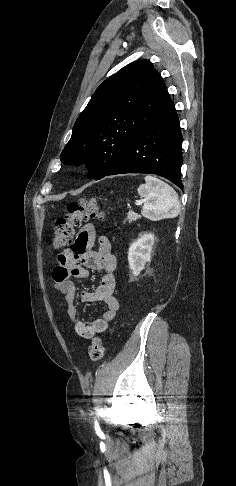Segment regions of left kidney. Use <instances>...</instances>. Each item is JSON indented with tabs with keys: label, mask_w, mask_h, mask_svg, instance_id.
I'll use <instances>...</instances> for the list:
<instances>
[{
	"label": "left kidney",
	"mask_w": 236,
	"mask_h": 486,
	"mask_svg": "<svg viewBox=\"0 0 236 486\" xmlns=\"http://www.w3.org/2000/svg\"><path fill=\"white\" fill-rule=\"evenodd\" d=\"M154 242V234L145 233L130 245L128 251V263L134 276H138L144 269L146 263L150 262Z\"/></svg>",
	"instance_id": "left-kidney-1"
}]
</instances>
